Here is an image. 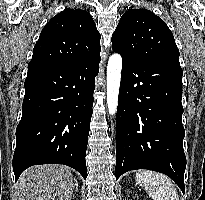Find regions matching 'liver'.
Wrapping results in <instances>:
<instances>
[{"label":"liver","mask_w":205,"mask_h":200,"mask_svg":"<svg viewBox=\"0 0 205 200\" xmlns=\"http://www.w3.org/2000/svg\"><path fill=\"white\" fill-rule=\"evenodd\" d=\"M74 180L70 168L64 165L29 167L17 182L18 200H71Z\"/></svg>","instance_id":"obj_1"}]
</instances>
